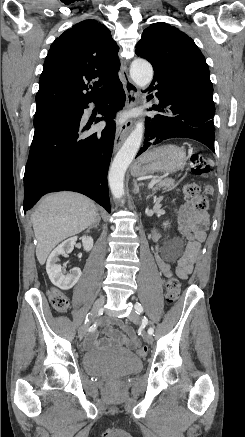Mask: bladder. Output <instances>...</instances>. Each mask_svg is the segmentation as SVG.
<instances>
[{"label": "bladder", "instance_id": "1", "mask_svg": "<svg viewBox=\"0 0 245 437\" xmlns=\"http://www.w3.org/2000/svg\"><path fill=\"white\" fill-rule=\"evenodd\" d=\"M82 365L93 376H126L139 372L142 361L125 349H97L83 354Z\"/></svg>", "mask_w": 245, "mask_h": 437}]
</instances>
